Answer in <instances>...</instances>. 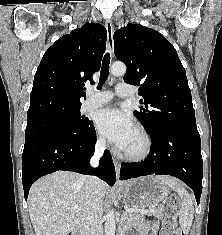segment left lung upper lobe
<instances>
[{"label": "left lung upper lobe", "mask_w": 222, "mask_h": 235, "mask_svg": "<svg viewBox=\"0 0 222 235\" xmlns=\"http://www.w3.org/2000/svg\"><path fill=\"white\" fill-rule=\"evenodd\" d=\"M114 52L127 65L124 81L137 85L140 101L150 104L134 111L150 135L172 128L198 133L185 69L161 33L128 24L114 33Z\"/></svg>", "instance_id": "obj_1"}]
</instances>
